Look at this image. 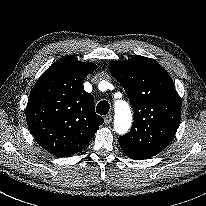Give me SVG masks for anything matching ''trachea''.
Returning a JSON list of instances; mask_svg holds the SVG:
<instances>
[{"instance_id": "trachea-1", "label": "trachea", "mask_w": 206, "mask_h": 206, "mask_svg": "<svg viewBox=\"0 0 206 206\" xmlns=\"http://www.w3.org/2000/svg\"><path fill=\"white\" fill-rule=\"evenodd\" d=\"M110 109V105L107 101H101L96 107V112L100 115H106Z\"/></svg>"}]
</instances>
